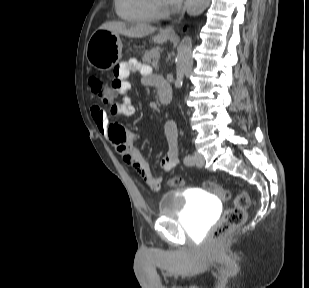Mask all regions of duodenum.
I'll return each instance as SVG.
<instances>
[{
	"label": "duodenum",
	"mask_w": 309,
	"mask_h": 288,
	"mask_svg": "<svg viewBox=\"0 0 309 288\" xmlns=\"http://www.w3.org/2000/svg\"><path fill=\"white\" fill-rule=\"evenodd\" d=\"M158 96L160 102L164 105H167L172 101V89L167 82H160L158 87Z\"/></svg>",
	"instance_id": "410a0bca"
}]
</instances>
